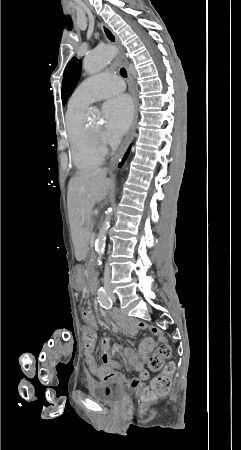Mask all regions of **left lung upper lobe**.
<instances>
[{"instance_id":"1","label":"left lung upper lobe","mask_w":241,"mask_h":450,"mask_svg":"<svg viewBox=\"0 0 241 450\" xmlns=\"http://www.w3.org/2000/svg\"><path fill=\"white\" fill-rule=\"evenodd\" d=\"M81 75V60L73 57L63 75V88L61 90L62 101L65 104L68 97L72 94L74 88L76 87Z\"/></svg>"}]
</instances>
